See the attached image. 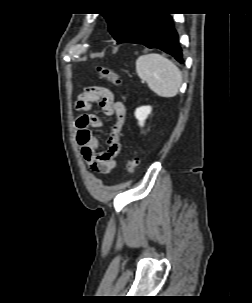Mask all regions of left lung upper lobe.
Here are the masks:
<instances>
[{"label":"left lung upper lobe","mask_w":252,"mask_h":303,"mask_svg":"<svg viewBox=\"0 0 252 303\" xmlns=\"http://www.w3.org/2000/svg\"><path fill=\"white\" fill-rule=\"evenodd\" d=\"M146 13L102 14L108 23L109 32L117 42L121 41L139 23Z\"/></svg>","instance_id":"obj_1"}]
</instances>
